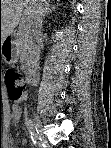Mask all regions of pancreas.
I'll return each mask as SVG.
<instances>
[{
	"mask_svg": "<svg viewBox=\"0 0 111 148\" xmlns=\"http://www.w3.org/2000/svg\"><path fill=\"white\" fill-rule=\"evenodd\" d=\"M19 36V45L21 49L20 54V63L22 64L23 69H27V61H28V38H29V27L22 26L18 31Z\"/></svg>",
	"mask_w": 111,
	"mask_h": 148,
	"instance_id": "cf45deb5",
	"label": "pancreas"
}]
</instances>
